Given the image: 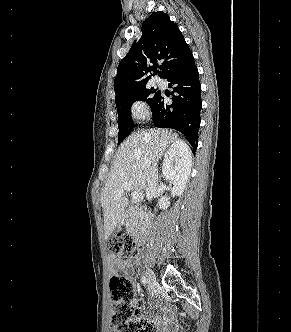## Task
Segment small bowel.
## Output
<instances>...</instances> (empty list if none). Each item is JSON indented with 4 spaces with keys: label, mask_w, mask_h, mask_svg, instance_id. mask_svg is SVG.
Here are the masks:
<instances>
[{
    "label": "small bowel",
    "mask_w": 291,
    "mask_h": 332,
    "mask_svg": "<svg viewBox=\"0 0 291 332\" xmlns=\"http://www.w3.org/2000/svg\"><path fill=\"white\" fill-rule=\"evenodd\" d=\"M109 263H110L111 271L113 273H116L119 271L124 272L126 275H130L132 273L131 266L120 258H117V257L111 255V256H109ZM154 321L156 323L160 324L164 328H167L169 325L168 322H163L159 316H156L154 318Z\"/></svg>",
    "instance_id": "1"
}]
</instances>
